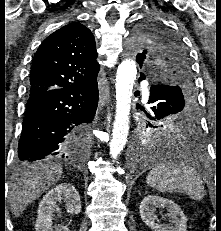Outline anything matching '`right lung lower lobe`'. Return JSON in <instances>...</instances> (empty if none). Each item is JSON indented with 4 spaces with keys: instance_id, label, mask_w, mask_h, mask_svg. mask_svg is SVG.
Listing matches in <instances>:
<instances>
[{
    "instance_id": "1",
    "label": "right lung lower lobe",
    "mask_w": 221,
    "mask_h": 231,
    "mask_svg": "<svg viewBox=\"0 0 221 231\" xmlns=\"http://www.w3.org/2000/svg\"><path fill=\"white\" fill-rule=\"evenodd\" d=\"M98 104L97 80L84 87L53 89L29 97L18 160L81 157L87 149L85 132Z\"/></svg>"
}]
</instances>
